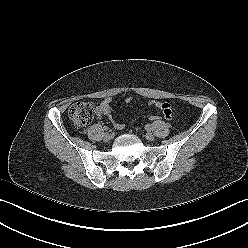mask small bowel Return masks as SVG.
Here are the masks:
<instances>
[{
    "label": "small bowel",
    "instance_id": "obj_1",
    "mask_svg": "<svg viewBox=\"0 0 248 248\" xmlns=\"http://www.w3.org/2000/svg\"><path fill=\"white\" fill-rule=\"evenodd\" d=\"M131 97H127L125 99V101L127 103L131 102ZM111 103H112V98L111 97H107L105 98L95 109V114L96 117L101 119L102 117L106 116L110 119V121L112 122L113 126L116 129H123L124 128V124L115 120L112 117V109H111ZM149 105L154 106L157 109H160L163 113V116L165 119L169 120L172 118L173 116V109L171 107V105L169 103H165V102H160V101H150Z\"/></svg>",
    "mask_w": 248,
    "mask_h": 248
}]
</instances>
